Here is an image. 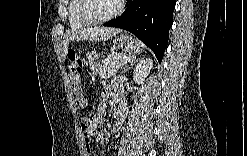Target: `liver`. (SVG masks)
Here are the masks:
<instances>
[{"instance_id":"liver-1","label":"liver","mask_w":247,"mask_h":156,"mask_svg":"<svg viewBox=\"0 0 247 156\" xmlns=\"http://www.w3.org/2000/svg\"><path fill=\"white\" fill-rule=\"evenodd\" d=\"M121 30L113 27H90L68 33L63 41L64 57L71 41H105L118 34Z\"/></svg>"}]
</instances>
